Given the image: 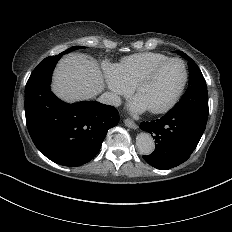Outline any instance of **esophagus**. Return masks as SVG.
<instances>
[{
    "label": "esophagus",
    "instance_id": "34e87169",
    "mask_svg": "<svg viewBox=\"0 0 232 232\" xmlns=\"http://www.w3.org/2000/svg\"><path fill=\"white\" fill-rule=\"evenodd\" d=\"M124 124H125V126H127L128 128H131V129L138 128V125L130 119H124Z\"/></svg>",
    "mask_w": 232,
    "mask_h": 232
}]
</instances>
